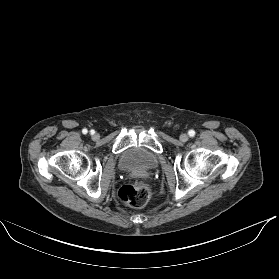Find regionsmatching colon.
<instances>
[{"instance_id":"1","label":"colon","mask_w":279,"mask_h":279,"mask_svg":"<svg viewBox=\"0 0 279 279\" xmlns=\"http://www.w3.org/2000/svg\"><path fill=\"white\" fill-rule=\"evenodd\" d=\"M151 187L144 182L123 185L117 192V197L126 206L141 208L150 198Z\"/></svg>"}]
</instances>
